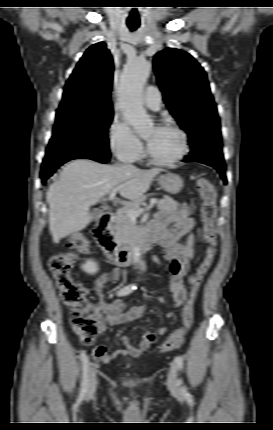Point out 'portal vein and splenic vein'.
Instances as JSON below:
<instances>
[{
    "mask_svg": "<svg viewBox=\"0 0 273 430\" xmlns=\"http://www.w3.org/2000/svg\"><path fill=\"white\" fill-rule=\"evenodd\" d=\"M120 188H121V186H117V187L112 188L111 192L109 193V199L110 200H112L114 198L115 194L120 190ZM156 203H158V199L152 198L150 200L149 206H147L146 208H139L137 210L129 209V210H127V214L132 220H135L144 211L150 210L154 206V204H156Z\"/></svg>",
    "mask_w": 273,
    "mask_h": 430,
    "instance_id": "1",
    "label": "portal vein and splenic vein"
}]
</instances>
